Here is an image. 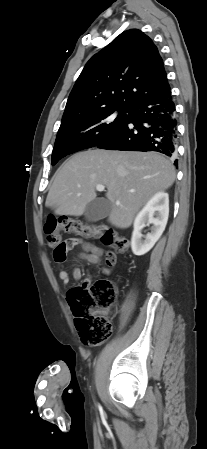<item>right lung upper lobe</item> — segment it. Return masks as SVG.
<instances>
[{
  "instance_id": "right-lung-upper-lobe-1",
  "label": "right lung upper lobe",
  "mask_w": 207,
  "mask_h": 449,
  "mask_svg": "<svg viewBox=\"0 0 207 449\" xmlns=\"http://www.w3.org/2000/svg\"><path fill=\"white\" fill-rule=\"evenodd\" d=\"M170 90L158 48L142 31L128 30L85 65L62 120L115 107L132 108Z\"/></svg>"
}]
</instances>
